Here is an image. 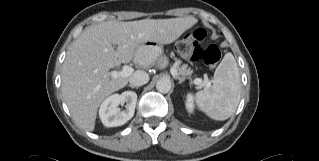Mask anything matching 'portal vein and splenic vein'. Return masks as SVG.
<instances>
[{
	"instance_id": "1",
	"label": "portal vein and splenic vein",
	"mask_w": 319,
	"mask_h": 161,
	"mask_svg": "<svg viewBox=\"0 0 319 161\" xmlns=\"http://www.w3.org/2000/svg\"><path fill=\"white\" fill-rule=\"evenodd\" d=\"M170 72L173 76H176L178 74L177 70L174 67H171ZM132 73H133V68L128 65H125L121 71H111L109 72V75L111 77L118 78V77H129ZM194 83L199 85L201 83V79L196 78L194 80Z\"/></svg>"
}]
</instances>
